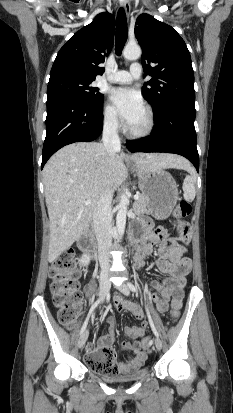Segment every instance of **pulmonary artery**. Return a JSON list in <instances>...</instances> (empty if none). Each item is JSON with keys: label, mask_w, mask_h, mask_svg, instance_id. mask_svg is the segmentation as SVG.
<instances>
[{"label": "pulmonary artery", "mask_w": 233, "mask_h": 413, "mask_svg": "<svg viewBox=\"0 0 233 413\" xmlns=\"http://www.w3.org/2000/svg\"><path fill=\"white\" fill-rule=\"evenodd\" d=\"M142 74L141 65L138 63H133L129 69L126 70H115L113 73L108 77V80L113 83L118 84H128L135 79H138Z\"/></svg>", "instance_id": "pulmonary-artery-1"}]
</instances>
